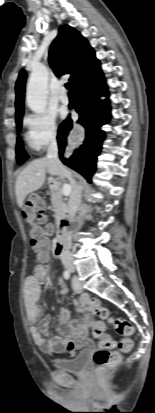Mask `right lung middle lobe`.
I'll return each instance as SVG.
<instances>
[{"mask_svg": "<svg viewBox=\"0 0 155 413\" xmlns=\"http://www.w3.org/2000/svg\"><path fill=\"white\" fill-rule=\"evenodd\" d=\"M21 123H22V119L16 121L18 131L21 130ZM27 158H28V155L24 151L22 140L20 139V137H18L17 147H16V159H17L18 164H22Z\"/></svg>", "mask_w": 155, "mask_h": 413, "instance_id": "1", "label": "right lung middle lobe"}]
</instances>
